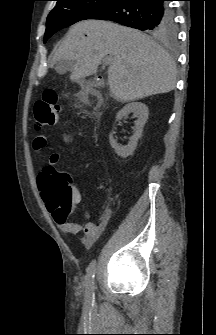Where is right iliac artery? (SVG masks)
I'll list each match as a JSON object with an SVG mask.
<instances>
[{"mask_svg":"<svg viewBox=\"0 0 216 335\" xmlns=\"http://www.w3.org/2000/svg\"><path fill=\"white\" fill-rule=\"evenodd\" d=\"M96 261L93 260L88 268L86 275V287H87V301L88 303L94 302V271H95Z\"/></svg>","mask_w":216,"mask_h":335,"instance_id":"right-iliac-artery-1","label":"right iliac artery"}]
</instances>
